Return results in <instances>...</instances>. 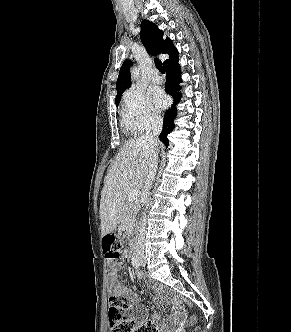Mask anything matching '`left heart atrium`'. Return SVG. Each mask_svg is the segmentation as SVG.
Segmentation results:
<instances>
[{
	"label": "left heart atrium",
	"mask_w": 291,
	"mask_h": 332,
	"mask_svg": "<svg viewBox=\"0 0 291 332\" xmlns=\"http://www.w3.org/2000/svg\"><path fill=\"white\" fill-rule=\"evenodd\" d=\"M150 96L158 108H163L166 105V97L162 90L155 88L150 91Z\"/></svg>",
	"instance_id": "39dd6f15"
}]
</instances>
